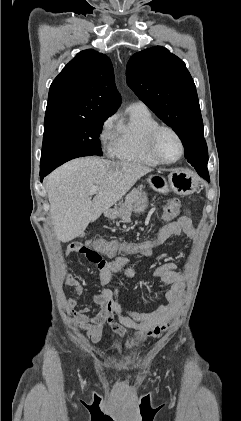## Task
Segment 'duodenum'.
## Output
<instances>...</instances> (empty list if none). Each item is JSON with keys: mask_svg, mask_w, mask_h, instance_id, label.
I'll return each instance as SVG.
<instances>
[{"mask_svg": "<svg viewBox=\"0 0 241 421\" xmlns=\"http://www.w3.org/2000/svg\"><path fill=\"white\" fill-rule=\"evenodd\" d=\"M111 211L110 210H107V211H105L104 212V215L106 216V217H109L110 215H111Z\"/></svg>", "mask_w": 241, "mask_h": 421, "instance_id": "1", "label": "duodenum"}]
</instances>
